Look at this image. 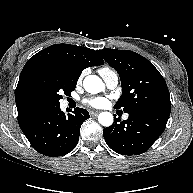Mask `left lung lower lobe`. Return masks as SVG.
I'll use <instances>...</instances> for the list:
<instances>
[{"mask_svg":"<svg viewBox=\"0 0 193 193\" xmlns=\"http://www.w3.org/2000/svg\"><path fill=\"white\" fill-rule=\"evenodd\" d=\"M171 106L131 113L127 120L103 129L107 145L122 155H138L147 151L165 130Z\"/></svg>","mask_w":193,"mask_h":193,"instance_id":"1","label":"left lung lower lobe"}]
</instances>
